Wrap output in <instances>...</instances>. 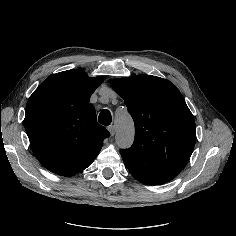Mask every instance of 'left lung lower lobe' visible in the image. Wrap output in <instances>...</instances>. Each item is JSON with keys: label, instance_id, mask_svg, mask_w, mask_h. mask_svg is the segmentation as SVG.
<instances>
[{"label": "left lung lower lobe", "instance_id": "1", "mask_svg": "<svg viewBox=\"0 0 236 236\" xmlns=\"http://www.w3.org/2000/svg\"><path fill=\"white\" fill-rule=\"evenodd\" d=\"M131 174H132V176L135 178V179H137L138 181H140V182H142V183H144V184H148V185H154L155 183L154 182H152V181H150V180H148V179H145V178H143V177H141V176H139V175H136V174H134V173H132V172H130Z\"/></svg>", "mask_w": 236, "mask_h": 236}]
</instances>
